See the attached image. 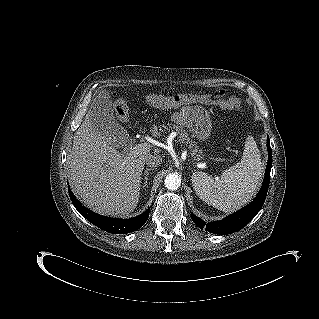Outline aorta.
Returning a JSON list of instances; mask_svg holds the SVG:
<instances>
[{
  "instance_id": "762f6f07",
  "label": "aorta",
  "mask_w": 319,
  "mask_h": 319,
  "mask_svg": "<svg viewBox=\"0 0 319 319\" xmlns=\"http://www.w3.org/2000/svg\"><path fill=\"white\" fill-rule=\"evenodd\" d=\"M164 184L165 187L170 191L177 190L180 187L181 178L178 174L170 173L166 176Z\"/></svg>"
}]
</instances>
